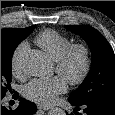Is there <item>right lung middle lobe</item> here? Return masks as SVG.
<instances>
[{
    "instance_id": "obj_1",
    "label": "right lung middle lobe",
    "mask_w": 115,
    "mask_h": 115,
    "mask_svg": "<svg viewBox=\"0 0 115 115\" xmlns=\"http://www.w3.org/2000/svg\"><path fill=\"white\" fill-rule=\"evenodd\" d=\"M35 28V25L29 28L25 33L15 37L12 40L1 42V97H4L6 92L11 90V61L14 50L18 44L23 41Z\"/></svg>"
}]
</instances>
